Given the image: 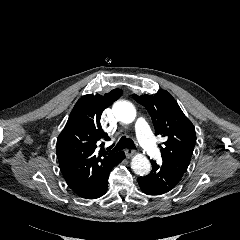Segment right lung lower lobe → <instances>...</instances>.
Instances as JSON below:
<instances>
[{"instance_id": "1", "label": "right lung lower lobe", "mask_w": 240, "mask_h": 240, "mask_svg": "<svg viewBox=\"0 0 240 240\" xmlns=\"http://www.w3.org/2000/svg\"><path fill=\"white\" fill-rule=\"evenodd\" d=\"M124 158V152H120L116 160L96 179V181L90 186V188L85 192L77 195L86 199H96L103 196L107 191V181L111 169L113 168V166L120 163Z\"/></svg>"}]
</instances>
